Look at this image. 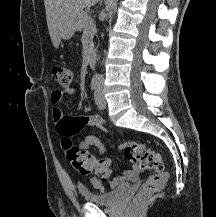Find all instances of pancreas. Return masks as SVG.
<instances>
[{"label": "pancreas", "mask_w": 216, "mask_h": 217, "mask_svg": "<svg viewBox=\"0 0 216 217\" xmlns=\"http://www.w3.org/2000/svg\"><path fill=\"white\" fill-rule=\"evenodd\" d=\"M76 30H86L89 35V48H93V37L95 34V24L93 19L89 16L87 11H81L75 22Z\"/></svg>", "instance_id": "cf45deb5"}]
</instances>
